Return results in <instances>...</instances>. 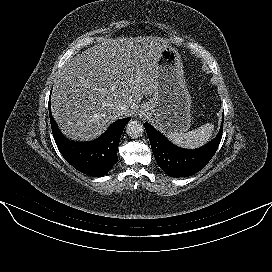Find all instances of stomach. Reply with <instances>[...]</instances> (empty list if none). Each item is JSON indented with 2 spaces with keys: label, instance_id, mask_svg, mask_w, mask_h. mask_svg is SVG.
<instances>
[{
  "label": "stomach",
  "instance_id": "0dacf381",
  "mask_svg": "<svg viewBox=\"0 0 272 272\" xmlns=\"http://www.w3.org/2000/svg\"><path fill=\"white\" fill-rule=\"evenodd\" d=\"M157 85L141 111L152 117L164 133H183L191 125V96L186 87L181 56L167 45L158 61Z\"/></svg>",
  "mask_w": 272,
  "mask_h": 272
}]
</instances>
